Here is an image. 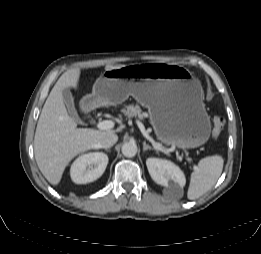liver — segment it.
<instances>
[{
    "instance_id": "liver-1",
    "label": "liver",
    "mask_w": 261,
    "mask_h": 254,
    "mask_svg": "<svg viewBox=\"0 0 261 254\" xmlns=\"http://www.w3.org/2000/svg\"><path fill=\"white\" fill-rule=\"evenodd\" d=\"M125 65H106L105 70L121 68ZM80 69L64 72L52 88L42 108L34 137V154L43 176L52 185H57L69 162L90 149L100 148L99 140L114 134V130H94L77 128V123L69 116L64 104L62 91L77 88Z\"/></svg>"
}]
</instances>
